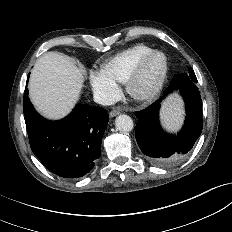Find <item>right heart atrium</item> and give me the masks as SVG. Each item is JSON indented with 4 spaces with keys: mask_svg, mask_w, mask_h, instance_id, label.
<instances>
[{
    "mask_svg": "<svg viewBox=\"0 0 232 232\" xmlns=\"http://www.w3.org/2000/svg\"><path fill=\"white\" fill-rule=\"evenodd\" d=\"M89 82L96 97L102 103H108L117 97L119 88L116 82L106 76L102 71H91Z\"/></svg>",
    "mask_w": 232,
    "mask_h": 232,
    "instance_id": "1",
    "label": "right heart atrium"
}]
</instances>
